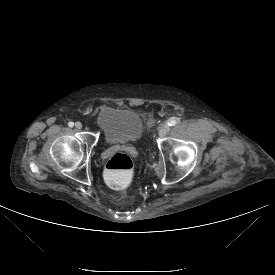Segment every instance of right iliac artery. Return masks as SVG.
Returning <instances> with one entry per match:
<instances>
[{"mask_svg": "<svg viewBox=\"0 0 275 275\" xmlns=\"http://www.w3.org/2000/svg\"><path fill=\"white\" fill-rule=\"evenodd\" d=\"M68 126H69V127H73V126H74V123H73V122H69V123H68Z\"/></svg>", "mask_w": 275, "mask_h": 275, "instance_id": "right-iliac-artery-1", "label": "right iliac artery"}]
</instances>
